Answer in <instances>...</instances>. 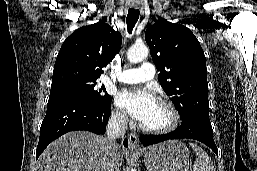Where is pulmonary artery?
Here are the masks:
<instances>
[{
  "label": "pulmonary artery",
  "mask_w": 257,
  "mask_h": 171,
  "mask_svg": "<svg viewBox=\"0 0 257 171\" xmlns=\"http://www.w3.org/2000/svg\"><path fill=\"white\" fill-rule=\"evenodd\" d=\"M155 67L150 62H143L138 68H131L122 71L117 75L116 80L125 84H136L149 81L155 76Z\"/></svg>",
  "instance_id": "1"
}]
</instances>
